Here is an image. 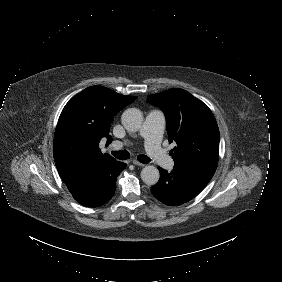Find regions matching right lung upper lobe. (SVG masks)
I'll return each mask as SVG.
<instances>
[{"instance_id": "right-lung-upper-lobe-1", "label": "right lung upper lobe", "mask_w": 282, "mask_h": 282, "mask_svg": "<svg viewBox=\"0 0 282 282\" xmlns=\"http://www.w3.org/2000/svg\"><path fill=\"white\" fill-rule=\"evenodd\" d=\"M137 97L124 96L102 86H92L74 96L60 115L54 136V161L60 177L69 183L106 161L99 142H111L109 128L114 116Z\"/></svg>"}]
</instances>
